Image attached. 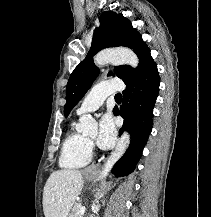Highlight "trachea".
<instances>
[{"label":"trachea","instance_id":"3493384b","mask_svg":"<svg viewBox=\"0 0 211 217\" xmlns=\"http://www.w3.org/2000/svg\"><path fill=\"white\" fill-rule=\"evenodd\" d=\"M121 97V94H116L115 95V98H120Z\"/></svg>","mask_w":211,"mask_h":217}]
</instances>
